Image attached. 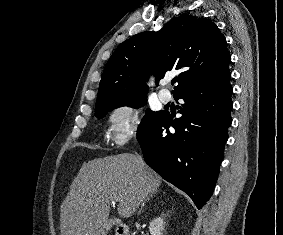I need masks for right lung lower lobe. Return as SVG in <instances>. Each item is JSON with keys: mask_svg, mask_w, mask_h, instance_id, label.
<instances>
[{"mask_svg": "<svg viewBox=\"0 0 283 235\" xmlns=\"http://www.w3.org/2000/svg\"><path fill=\"white\" fill-rule=\"evenodd\" d=\"M229 71L189 85L174 94L183 99L181 118L167 112L137 135L145 162L166 181L187 193L198 209L210 199L223 158L233 106ZM175 133L169 132V127Z\"/></svg>", "mask_w": 283, "mask_h": 235, "instance_id": "98d812e1", "label": "right lung lower lobe"}]
</instances>
